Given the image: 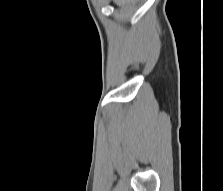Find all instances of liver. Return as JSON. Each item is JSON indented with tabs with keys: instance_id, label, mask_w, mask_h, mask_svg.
Instances as JSON below:
<instances>
[{
	"instance_id": "obj_1",
	"label": "liver",
	"mask_w": 223,
	"mask_h": 191,
	"mask_svg": "<svg viewBox=\"0 0 223 191\" xmlns=\"http://www.w3.org/2000/svg\"><path fill=\"white\" fill-rule=\"evenodd\" d=\"M127 0H114V3L118 6H123L127 3Z\"/></svg>"
}]
</instances>
